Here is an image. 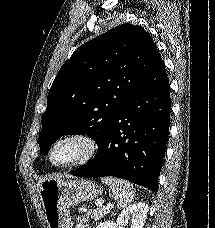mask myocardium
Segmentation results:
<instances>
[{
  "label": "myocardium",
  "mask_w": 215,
  "mask_h": 228,
  "mask_svg": "<svg viewBox=\"0 0 215 228\" xmlns=\"http://www.w3.org/2000/svg\"><path fill=\"white\" fill-rule=\"evenodd\" d=\"M64 144L74 145L77 149L75 155L64 162H53L52 154ZM97 150L98 144L93 136L80 131L70 132L56 138L50 144L45 154V160L50 167L61 169L89 160L96 154Z\"/></svg>",
  "instance_id": "1"
}]
</instances>
